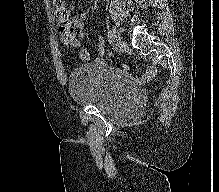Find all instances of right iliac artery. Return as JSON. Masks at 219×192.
Instances as JSON below:
<instances>
[{"label":"right iliac artery","instance_id":"1","mask_svg":"<svg viewBox=\"0 0 219 192\" xmlns=\"http://www.w3.org/2000/svg\"><path fill=\"white\" fill-rule=\"evenodd\" d=\"M107 38L110 44L113 43V33L109 29H107Z\"/></svg>","mask_w":219,"mask_h":192}]
</instances>
